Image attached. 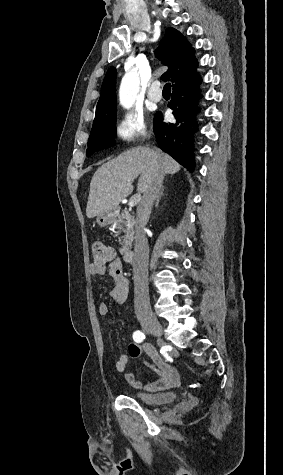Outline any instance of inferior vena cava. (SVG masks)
I'll return each instance as SVG.
<instances>
[{
    "mask_svg": "<svg viewBox=\"0 0 283 475\" xmlns=\"http://www.w3.org/2000/svg\"><path fill=\"white\" fill-rule=\"evenodd\" d=\"M155 164V170H153L144 190L143 200L137 208L133 261L135 313L151 311L148 287L149 245L144 228L149 220L153 202L158 198L164 180L162 164L158 160Z\"/></svg>",
    "mask_w": 283,
    "mask_h": 475,
    "instance_id": "obj_1",
    "label": "inferior vena cava"
}]
</instances>
